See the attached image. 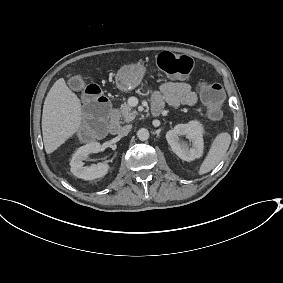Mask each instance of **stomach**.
Masks as SVG:
<instances>
[{"label": "stomach", "mask_w": 283, "mask_h": 283, "mask_svg": "<svg viewBox=\"0 0 283 283\" xmlns=\"http://www.w3.org/2000/svg\"><path fill=\"white\" fill-rule=\"evenodd\" d=\"M148 71V64L144 62L125 64L117 71L115 84L123 92L132 91L141 84Z\"/></svg>", "instance_id": "1"}]
</instances>
